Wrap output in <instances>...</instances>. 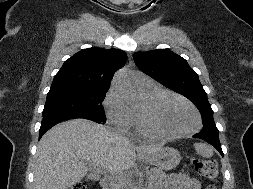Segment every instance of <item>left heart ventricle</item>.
Returning <instances> with one entry per match:
<instances>
[{"instance_id": "obj_1", "label": "left heart ventricle", "mask_w": 253, "mask_h": 189, "mask_svg": "<svg viewBox=\"0 0 253 189\" xmlns=\"http://www.w3.org/2000/svg\"><path fill=\"white\" fill-rule=\"evenodd\" d=\"M153 123L169 133L188 131L196 125L193 110L182 101L173 97L163 98L152 114Z\"/></svg>"}]
</instances>
